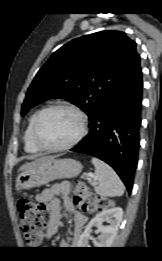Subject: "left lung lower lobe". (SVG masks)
<instances>
[{
  "label": "left lung lower lobe",
  "instance_id": "obj_1",
  "mask_svg": "<svg viewBox=\"0 0 162 261\" xmlns=\"http://www.w3.org/2000/svg\"><path fill=\"white\" fill-rule=\"evenodd\" d=\"M142 87L139 67L98 106L89 118V134L71 149L108 163L129 193L138 160Z\"/></svg>",
  "mask_w": 162,
  "mask_h": 261
}]
</instances>
